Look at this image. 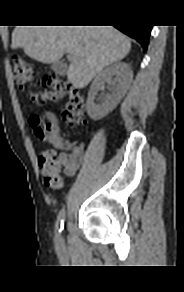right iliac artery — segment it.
Here are the masks:
<instances>
[{
    "mask_svg": "<svg viewBox=\"0 0 184 292\" xmlns=\"http://www.w3.org/2000/svg\"><path fill=\"white\" fill-rule=\"evenodd\" d=\"M64 219H65V211L62 209L57 217V222H56V234L59 236L63 230L64 226Z\"/></svg>",
    "mask_w": 184,
    "mask_h": 292,
    "instance_id": "82829eb1",
    "label": "right iliac artery"
}]
</instances>
